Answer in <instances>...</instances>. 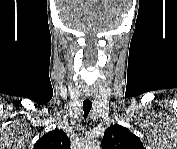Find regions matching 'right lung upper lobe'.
<instances>
[{
	"label": "right lung upper lobe",
	"instance_id": "right-lung-upper-lobe-1",
	"mask_svg": "<svg viewBox=\"0 0 177 149\" xmlns=\"http://www.w3.org/2000/svg\"><path fill=\"white\" fill-rule=\"evenodd\" d=\"M34 149H70V139L62 130L55 129L43 135Z\"/></svg>",
	"mask_w": 177,
	"mask_h": 149
}]
</instances>
